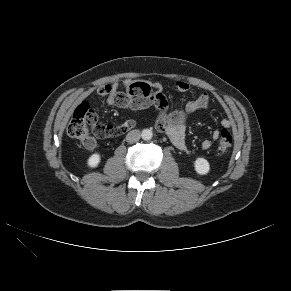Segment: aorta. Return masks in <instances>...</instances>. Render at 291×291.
<instances>
[{
  "instance_id": "aorta-1",
  "label": "aorta",
  "mask_w": 291,
  "mask_h": 291,
  "mask_svg": "<svg viewBox=\"0 0 291 291\" xmlns=\"http://www.w3.org/2000/svg\"><path fill=\"white\" fill-rule=\"evenodd\" d=\"M141 137L143 140L148 141L153 137V133L150 129H144L141 133Z\"/></svg>"
}]
</instances>
